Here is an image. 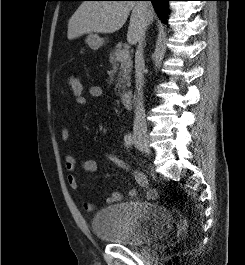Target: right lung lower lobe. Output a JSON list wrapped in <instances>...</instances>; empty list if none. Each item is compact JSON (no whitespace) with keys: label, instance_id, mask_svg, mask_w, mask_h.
<instances>
[{"label":"right lung lower lobe","instance_id":"98d812e1","mask_svg":"<svg viewBox=\"0 0 245 265\" xmlns=\"http://www.w3.org/2000/svg\"><path fill=\"white\" fill-rule=\"evenodd\" d=\"M127 1H138V0H127ZM151 1L153 4V7L156 10V13L158 14L159 18L162 22H166V16L168 11V1L170 0H148Z\"/></svg>","mask_w":245,"mask_h":265}]
</instances>
